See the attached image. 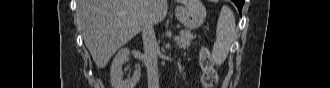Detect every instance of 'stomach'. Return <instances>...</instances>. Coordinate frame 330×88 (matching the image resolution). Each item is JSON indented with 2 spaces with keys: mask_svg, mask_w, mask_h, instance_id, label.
Masks as SVG:
<instances>
[{
  "mask_svg": "<svg viewBox=\"0 0 330 88\" xmlns=\"http://www.w3.org/2000/svg\"><path fill=\"white\" fill-rule=\"evenodd\" d=\"M175 15L187 29L194 30L204 23L207 13L201 1L190 0L188 4L176 7Z\"/></svg>",
  "mask_w": 330,
  "mask_h": 88,
  "instance_id": "stomach-1",
  "label": "stomach"
}]
</instances>
